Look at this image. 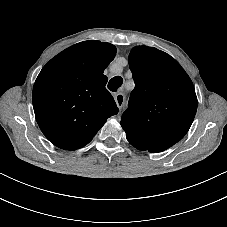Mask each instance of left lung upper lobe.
Segmentation results:
<instances>
[{"instance_id":"5c2ea615","label":"left lung upper lobe","mask_w":227,"mask_h":227,"mask_svg":"<svg viewBox=\"0 0 227 227\" xmlns=\"http://www.w3.org/2000/svg\"><path fill=\"white\" fill-rule=\"evenodd\" d=\"M128 61L135 88L121 126L135 148L164 151L193 122L198 104L193 83L173 57L156 48L136 46Z\"/></svg>"}]
</instances>
